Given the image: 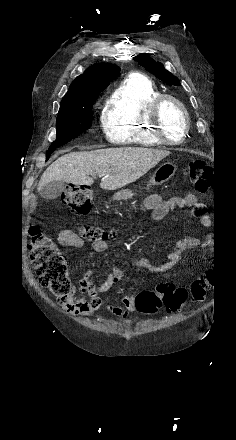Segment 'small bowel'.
<instances>
[{
  "label": "small bowel",
  "instance_id": "obj_1",
  "mask_svg": "<svg viewBox=\"0 0 236 440\" xmlns=\"http://www.w3.org/2000/svg\"><path fill=\"white\" fill-rule=\"evenodd\" d=\"M174 208H191L195 217L205 225L209 226L211 221L205 213L203 204L197 201L194 194H188L185 197H171L167 200L162 199L157 194H151L141 205V211L151 213L154 221H160L165 218ZM59 245L64 247H72L84 249V241L73 231L63 230L57 238ZM200 245V240L194 236L185 235L179 239L172 251L169 253L166 262L158 265L146 264L147 268L156 274H163L170 271L174 266L182 262L183 255L186 251L196 248ZM92 249L95 252L102 253L107 249V243L104 240H96L92 242ZM123 278L119 268L114 267L107 274L106 279L97 284L93 279L92 272L87 271L80 280L77 291H74L62 306L71 314L77 316L91 315L95 312L105 310L115 316L126 318L129 312L137 310L136 298L138 295H125L121 302L124 309L114 305H103L99 295L109 291L117 285Z\"/></svg>",
  "mask_w": 236,
  "mask_h": 440
}]
</instances>
